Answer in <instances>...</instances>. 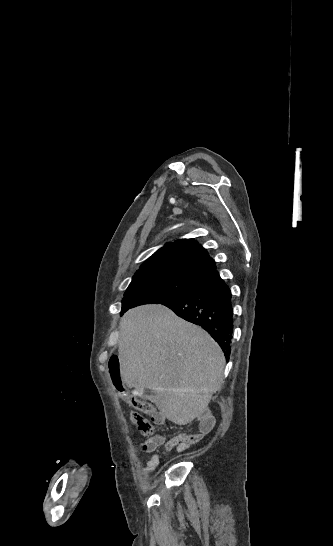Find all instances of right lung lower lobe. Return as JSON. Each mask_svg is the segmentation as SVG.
I'll list each match as a JSON object with an SVG mask.
<instances>
[{
  "instance_id": "1",
  "label": "right lung lower lobe",
  "mask_w": 333,
  "mask_h": 546,
  "mask_svg": "<svg viewBox=\"0 0 333 546\" xmlns=\"http://www.w3.org/2000/svg\"><path fill=\"white\" fill-rule=\"evenodd\" d=\"M161 304L210 333L228 360L233 333L231 291L216 270L204 277L197 288Z\"/></svg>"
}]
</instances>
